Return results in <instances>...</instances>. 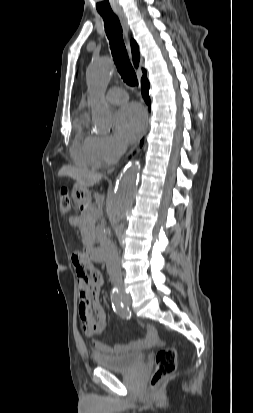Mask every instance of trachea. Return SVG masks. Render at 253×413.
<instances>
[{
    "instance_id": "obj_1",
    "label": "trachea",
    "mask_w": 253,
    "mask_h": 413,
    "mask_svg": "<svg viewBox=\"0 0 253 413\" xmlns=\"http://www.w3.org/2000/svg\"><path fill=\"white\" fill-rule=\"evenodd\" d=\"M104 20L105 32L109 39L114 63L124 82L131 86H138L136 73L130 63L123 41L122 27L115 14H101Z\"/></svg>"
}]
</instances>
